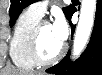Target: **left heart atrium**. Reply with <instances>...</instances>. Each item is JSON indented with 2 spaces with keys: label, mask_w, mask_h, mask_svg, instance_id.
Masks as SVG:
<instances>
[{
  "label": "left heart atrium",
  "mask_w": 102,
  "mask_h": 75,
  "mask_svg": "<svg viewBox=\"0 0 102 75\" xmlns=\"http://www.w3.org/2000/svg\"><path fill=\"white\" fill-rule=\"evenodd\" d=\"M53 28L59 41L63 44L68 36V25L62 15L56 17Z\"/></svg>",
  "instance_id": "39dd6f15"
}]
</instances>
